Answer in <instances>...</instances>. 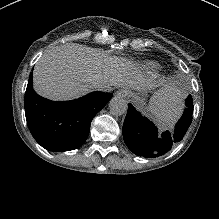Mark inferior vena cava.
<instances>
[{"label":"inferior vena cava","mask_w":219,"mask_h":219,"mask_svg":"<svg viewBox=\"0 0 219 219\" xmlns=\"http://www.w3.org/2000/svg\"><path fill=\"white\" fill-rule=\"evenodd\" d=\"M94 89L102 92H111L113 90V84L110 79L105 77H99L93 80Z\"/></svg>","instance_id":"obj_1"}]
</instances>
